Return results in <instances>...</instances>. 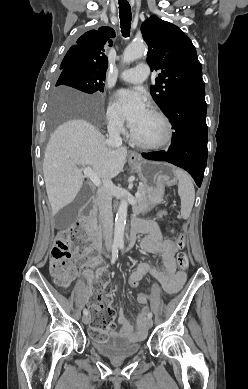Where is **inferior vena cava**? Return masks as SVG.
Instances as JSON below:
<instances>
[{
  "label": "inferior vena cava",
  "instance_id": "1",
  "mask_svg": "<svg viewBox=\"0 0 248 389\" xmlns=\"http://www.w3.org/2000/svg\"><path fill=\"white\" fill-rule=\"evenodd\" d=\"M108 139L106 143L109 147L116 148L122 145L120 136V125L117 120H113L108 125ZM113 183L110 179L103 180V187L97 192V205L100 213V220L103 227V237L107 250L112 248L113 215H112V189Z\"/></svg>",
  "mask_w": 248,
  "mask_h": 389
}]
</instances>
